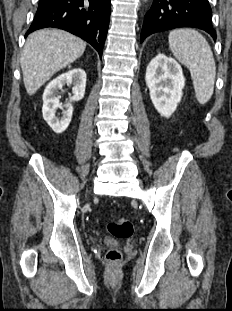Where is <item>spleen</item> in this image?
I'll use <instances>...</instances> for the list:
<instances>
[{"label": "spleen", "instance_id": "1", "mask_svg": "<svg viewBox=\"0 0 232 311\" xmlns=\"http://www.w3.org/2000/svg\"><path fill=\"white\" fill-rule=\"evenodd\" d=\"M169 47L176 59L190 71L196 98L207 103L214 91L215 60L210 45L198 31L175 29L168 36Z\"/></svg>", "mask_w": 232, "mask_h": 311}]
</instances>
